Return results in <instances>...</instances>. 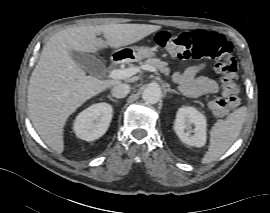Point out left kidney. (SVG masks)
Here are the masks:
<instances>
[{
    "label": "left kidney",
    "instance_id": "5707ae66",
    "mask_svg": "<svg viewBox=\"0 0 270 213\" xmlns=\"http://www.w3.org/2000/svg\"><path fill=\"white\" fill-rule=\"evenodd\" d=\"M206 126L205 116L195 108L181 107L178 109L174 130L183 143L195 147L204 146L207 139ZM192 132L194 134H191Z\"/></svg>",
    "mask_w": 270,
    "mask_h": 213
}]
</instances>
